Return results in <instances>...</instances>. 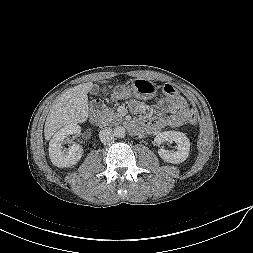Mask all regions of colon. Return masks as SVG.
Here are the masks:
<instances>
[{
	"label": "colon",
	"instance_id": "5ec220e1",
	"mask_svg": "<svg viewBox=\"0 0 253 253\" xmlns=\"http://www.w3.org/2000/svg\"><path fill=\"white\" fill-rule=\"evenodd\" d=\"M163 92L170 97L177 96V90L170 84L164 85ZM197 121H198V115L195 112H191L188 118V122L192 125H195Z\"/></svg>",
	"mask_w": 253,
	"mask_h": 253
}]
</instances>
